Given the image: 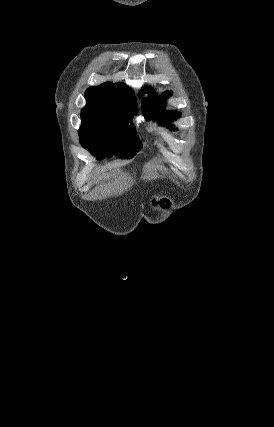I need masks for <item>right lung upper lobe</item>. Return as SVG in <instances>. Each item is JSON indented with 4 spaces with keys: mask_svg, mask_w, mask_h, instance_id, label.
I'll list each match as a JSON object with an SVG mask.
<instances>
[{
    "mask_svg": "<svg viewBox=\"0 0 274 427\" xmlns=\"http://www.w3.org/2000/svg\"><path fill=\"white\" fill-rule=\"evenodd\" d=\"M124 91L123 93H121ZM86 107L81 115H97L111 112L137 113L134 95L123 84L106 82L98 87H90L85 92Z\"/></svg>",
    "mask_w": 274,
    "mask_h": 427,
    "instance_id": "obj_1",
    "label": "right lung upper lobe"
}]
</instances>
